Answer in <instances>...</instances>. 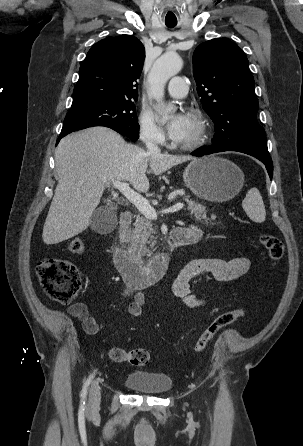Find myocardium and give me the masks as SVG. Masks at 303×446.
Here are the masks:
<instances>
[{"label":"myocardium","instance_id":"obj_1","mask_svg":"<svg viewBox=\"0 0 303 446\" xmlns=\"http://www.w3.org/2000/svg\"><path fill=\"white\" fill-rule=\"evenodd\" d=\"M189 115L197 121V132L194 138L186 143H178L177 147L183 150H194L199 148L206 140L208 124L203 112L198 108H191Z\"/></svg>","mask_w":303,"mask_h":446}]
</instances>
